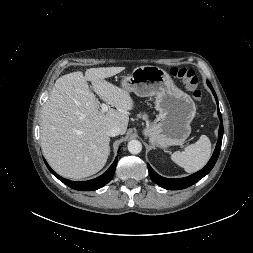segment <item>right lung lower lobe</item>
<instances>
[{
	"mask_svg": "<svg viewBox=\"0 0 253 253\" xmlns=\"http://www.w3.org/2000/svg\"><path fill=\"white\" fill-rule=\"evenodd\" d=\"M45 161V159H44ZM117 162H118V157H116V159L114 160L113 164L109 167V169L102 174L101 176L92 179V180H88V181H70L67 180L65 178H62L61 176H59L58 174H56L47 164V162L45 161V164L47 165L48 169L50 170V172L57 177L60 181H62L64 184L68 185L69 187L78 190V191H92V190H97L101 187H103L105 184H107L113 177L114 173H115V168L117 166Z\"/></svg>",
	"mask_w": 253,
	"mask_h": 253,
	"instance_id": "right-lung-lower-lobe-1",
	"label": "right lung lower lobe"
}]
</instances>
